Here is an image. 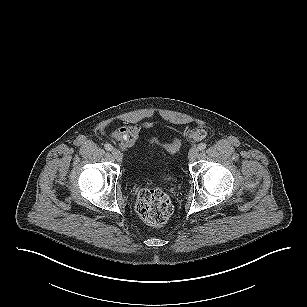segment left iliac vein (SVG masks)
Instances as JSON below:
<instances>
[{"label": "left iliac vein", "instance_id": "4c4485c4", "mask_svg": "<svg viewBox=\"0 0 307 307\" xmlns=\"http://www.w3.org/2000/svg\"><path fill=\"white\" fill-rule=\"evenodd\" d=\"M198 153H199V150L196 147L191 148L188 154L189 161L193 162L198 156Z\"/></svg>", "mask_w": 307, "mask_h": 307}]
</instances>
